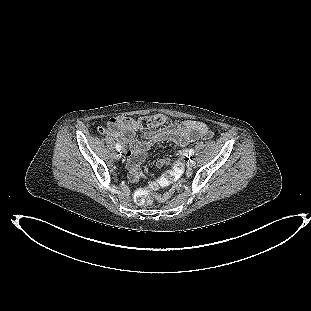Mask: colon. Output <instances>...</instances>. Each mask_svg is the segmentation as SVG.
I'll return each mask as SVG.
<instances>
[{"label":"colon","mask_w":311,"mask_h":311,"mask_svg":"<svg viewBox=\"0 0 311 311\" xmlns=\"http://www.w3.org/2000/svg\"><path fill=\"white\" fill-rule=\"evenodd\" d=\"M167 122V117L163 114H154L142 117L138 120V125L142 128H153L161 126ZM113 129H117L118 124L114 122ZM176 177L175 170H169L162 174L158 179L149 182L143 189L135 194V200L139 205H151L158 198L157 191L161 186L168 185Z\"/></svg>","instance_id":"5ec220e1"}]
</instances>
